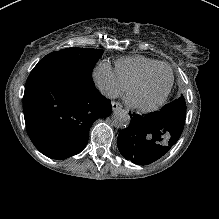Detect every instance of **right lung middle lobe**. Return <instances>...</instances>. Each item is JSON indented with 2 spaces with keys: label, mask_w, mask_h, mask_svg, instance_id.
Segmentation results:
<instances>
[{
  "label": "right lung middle lobe",
  "mask_w": 219,
  "mask_h": 219,
  "mask_svg": "<svg viewBox=\"0 0 219 219\" xmlns=\"http://www.w3.org/2000/svg\"><path fill=\"white\" fill-rule=\"evenodd\" d=\"M103 51L101 49H88V48H78L72 47L63 49L60 51L52 52L42 58L38 64L55 60V59H66L73 61L88 70L92 71L93 67L97 63L99 57H101Z\"/></svg>",
  "instance_id": "dd1d6c3e"
}]
</instances>
